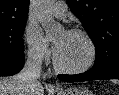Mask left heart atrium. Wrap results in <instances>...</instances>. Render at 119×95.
Listing matches in <instances>:
<instances>
[{
    "mask_svg": "<svg viewBox=\"0 0 119 95\" xmlns=\"http://www.w3.org/2000/svg\"><path fill=\"white\" fill-rule=\"evenodd\" d=\"M58 49H59V47L57 45H55V47H54V53H55V55L57 54Z\"/></svg>",
    "mask_w": 119,
    "mask_h": 95,
    "instance_id": "1",
    "label": "left heart atrium"
}]
</instances>
